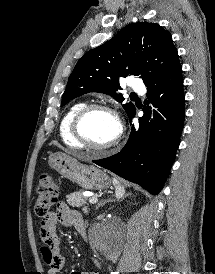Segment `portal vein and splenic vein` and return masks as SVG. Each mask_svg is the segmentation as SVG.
Instances as JSON below:
<instances>
[{
  "mask_svg": "<svg viewBox=\"0 0 215 274\" xmlns=\"http://www.w3.org/2000/svg\"><path fill=\"white\" fill-rule=\"evenodd\" d=\"M97 202H98L97 197H90V198H89V203L95 204V203H97Z\"/></svg>",
  "mask_w": 215,
  "mask_h": 274,
  "instance_id": "portal-vein-and-splenic-vein-1",
  "label": "portal vein and splenic vein"
}]
</instances>
